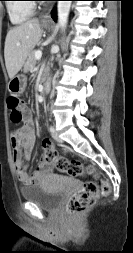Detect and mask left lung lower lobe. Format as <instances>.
Listing matches in <instances>:
<instances>
[{"instance_id": "left-lung-lower-lobe-1", "label": "left lung lower lobe", "mask_w": 133, "mask_h": 253, "mask_svg": "<svg viewBox=\"0 0 133 253\" xmlns=\"http://www.w3.org/2000/svg\"><path fill=\"white\" fill-rule=\"evenodd\" d=\"M55 1H57V0H55ZM51 17L53 18L54 21L57 20V15H56V11L55 10L52 11Z\"/></svg>"}]
</instances>
